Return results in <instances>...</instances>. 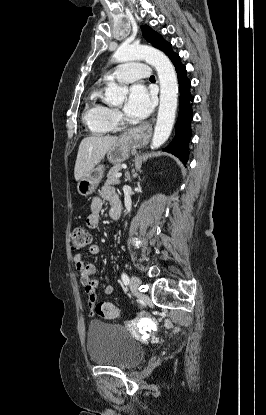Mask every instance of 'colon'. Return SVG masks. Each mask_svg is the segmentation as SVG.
I'll use <instances>...</instances> for the list:
<instances>
[{
  "label": "colon",
  "instance_id": "1",
  "mask_svg": "<svg viewBox=\"0 0 266 415\" xmlns=\"http://www.w3.org/2000/svg\"><path fill=\"white\" fill-rule=\"evenodd\" d=\"M90 242L89 234L83 228H76L71 232L70 244L72 251L84 249ZM93 314L106 319H114L119 311L115 305L109 302L97 303L93 308Z\"/></svg>",
  "mask_w": 266,
  "mask_h": 415
}]
</instances>
